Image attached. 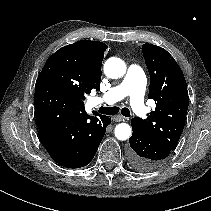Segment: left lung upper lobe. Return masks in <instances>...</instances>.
<instances>
[{"instance_id": "left-lung-upper-lobe-1", "label": "left lung upper lobe", "mask_w": 211, "mask_h": 211, "mask_svg": "<svg viewBox=\"0 0 211 211\" xmlns=\"http://www.w3.org/2000/svg\"><path fill=\"white\" fill-rule=\"evenodd\" d=\"M145 63L150 74L148 98L156 102L155 111L147 119L133 120L151 137L172 151L182 134L188 110V90L184 75L165 49L142 45Z\"/></svg>"}]
</instances>
